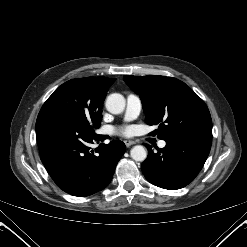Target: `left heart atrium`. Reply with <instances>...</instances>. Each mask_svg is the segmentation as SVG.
<instances>
[{"mask_svg":"<svg viewBox=\"0 0 247 247\" xmlns=\"http://www.w3.org/2000/svg\"><path fill=\"white\" fill-rule=\"evenodd\" d=\"M116 132L120 133V134H128L129 133V129L128 128H123V129L117 130Z\"/></svg>","mask_w":247,"mask_h":247,"instance_id":"1","label":"left heart atrium"}]
</instances>
